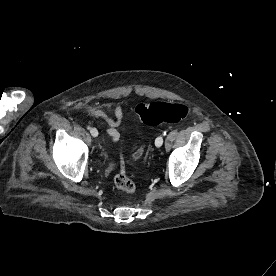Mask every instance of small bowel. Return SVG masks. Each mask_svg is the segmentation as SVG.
Instances as JSON below:
<instances>
[{"mask_svg":"<svg viewBox=\"0 0 276 276\" xmlns=\"http://www.w3.org/2000/svg\"><path fill=\"white\" fill-rule=\"evenodd\" d=\"M102 107L104 109H112L114 116L111 117L103 109L94 106L87 107V112L91 116L103 120L108 125L106 133L110 136L112 141H117L120 137L118 127L123 118V109L119 104L113 102H106Z\"/></svg>","mask_w":276,"mask_h":276,"instance_id":"1","label":"small bowel"}]
</instances>
